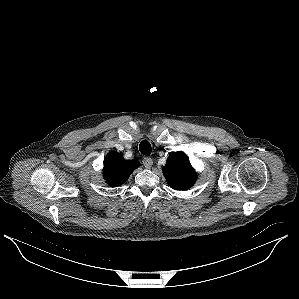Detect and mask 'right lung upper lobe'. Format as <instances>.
Wrapping results in <instances>:
<instances>
[{
  "instance_id": "cb5924a9",
  "label": "right lung upper lobe",
  "mask_w": 299,
  "mask_h": 299,
  "mask_svg": "<svg viewBox=\"0 0 299 299\" xmlns=\"http://www.w3.org/2000/svg\"><path fill=\"white\" fill-rule=\"evenodd\" d=\"M138 166L137 160H125L120 153L112 151L104 162L105 180L110 186H119Z\"/></svg>"
}]
</instances>
